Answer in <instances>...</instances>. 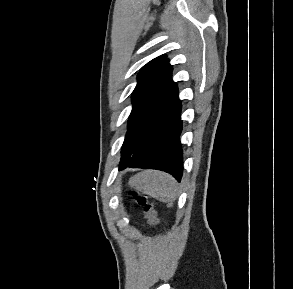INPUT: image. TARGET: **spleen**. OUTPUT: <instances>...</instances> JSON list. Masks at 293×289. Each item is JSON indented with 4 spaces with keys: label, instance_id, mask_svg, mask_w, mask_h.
Instances as JSON below:
<instances>
[{
    "label": "spleen",
    "instance_id": "3e777b00",
    "mask_svg": "<svg viewBox=\"0 0 293 289\" xmlns=\"http://www.w3.org/2000/svg\"><path fill=\"white\" fill-rule=\"evenodd\" d=\"M130 187L164 202H173L178 196L174 178L160 171H142L129 180Z\"/></svg>",
    "mask_w": 293,
    "mask_h": 289
}]
</instances>
